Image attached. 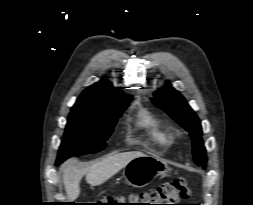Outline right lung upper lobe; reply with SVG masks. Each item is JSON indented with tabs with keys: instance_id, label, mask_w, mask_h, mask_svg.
Returning a JSON list of instances; mask_svg holds the SVG:
<instances>
[{
	"instance_id": "right-lung-upper-lobe-1",
	"label": "right lung upper lobe",
	"mask_w": 253,
	"mask_h": 205,
	"mask_svg": "<svg viewBox=\"0 0 253 205\" xmlns=\"http://www.w3.org/2000/svg\"><path fill=\"white\" fill-rule=\"evenodd\" d=\"M131 99L107 81H100L85 89L72 110L101 114L113 104Z\"/></svg>"
}]
</instances>
